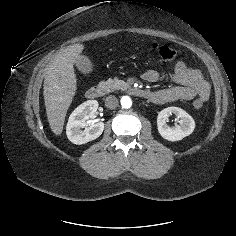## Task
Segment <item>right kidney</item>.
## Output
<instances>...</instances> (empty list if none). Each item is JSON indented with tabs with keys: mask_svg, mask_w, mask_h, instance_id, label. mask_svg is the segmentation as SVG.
Returning <instances> with one entry per match:
<instances>
[{
	"mask_svg": "<svg viewBox=\"0 0 236 236\" xmlns=\"http://www.w3.org/2000/svg\"><path fill=\"white\" fill-rule=\"evenodd\" d=\"M98 102L96 100H88L79 105L70 115L66 126V134L68 139L77 145L85 144L89 141L97 139L104 130V123H90L97 109ZM82 128H85L82 130Z\"/></svg>",
	"mask_w": 236,
	"mask_h": 236,
	"instance_id": "ca27d5eb",
	"label": "right kidney"
}]
</instances>
